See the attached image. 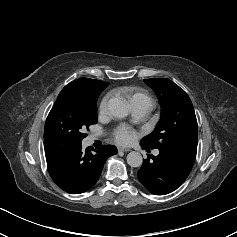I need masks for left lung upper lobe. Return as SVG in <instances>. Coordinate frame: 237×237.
<instances>
[{"instance_id": "5c2ea615", "label": "left lung upper lobe", "mask_w": 237, "mask_h": 237, "mask_svg": "<svg viewBox=\"0 0 237 237\" xmlns=\"http://www.w3.org/2000/svg\"><path fill=\"white\" fill-rule=\"evenodd\" d=\"M161 104V119L155 130L141 140L149 149L197 151V120L187 93L166 78L145 79Z\"/></svg>"}]
</instances>
